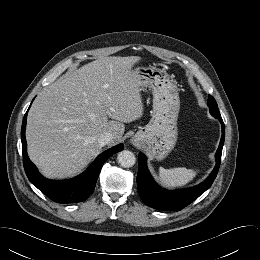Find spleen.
I'll use <instances>...</instances> for the list:
<instances>
[{"label": "spleen", "instance_id": "spleen-1", "mask_svg": "<svg viewBox=\"0 0 260 260\" xmlns=\"http://www.w3.org/2000/svg\"><path fill=\"white\" fill-rule=\"evenodd\" d=\"M197 171L178 167L173 169L159 168L160 181L171 187L184 186L196 176Z\"/></svg>", "mask_w": 260, "mask_h": 260}]
</instances>
